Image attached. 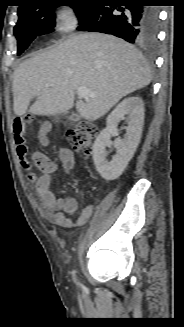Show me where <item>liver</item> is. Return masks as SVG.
<instances>
[{
  "label": "liver",
  "mask_w": 184,
  "mask_h": 327,
  "mask_svg": "<svg viewBox=\"0 0 184 327\" xmlns=\"http://www.w3.org/2000/svg\"><path fill=\"white\" fill-rule=\"evenodd\" d=\"M151 69L133 45L112 35H71L49 51L34 55L15 69L13 110L22 116L58 115L74 105L77 89L84 87L94 96L76 102L80 116L95 121L121 98L146 87Z\"/></svg>",
  "instance_id": "liver-1"
}]
</instances>
